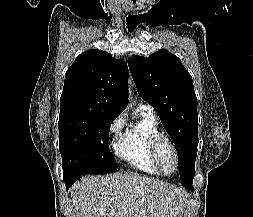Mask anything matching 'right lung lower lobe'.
<instances>
[{
    "instance_id": "1",
    "label": "right lung lower lobe",
    "mask_w": 253,
    "mask_h": 217,
    "mask_svg": "<svg viewBox=\"0 0 253 217\" xmlns=\"http://www.w3.org/2000/svg\"><path fill=\"white\" fill-rule=\"evenodd\" d=\"M82 175H76V176H66L64 175L65 185L68 189L76 180H78Z\"/></svg>"
}]
</instances>
